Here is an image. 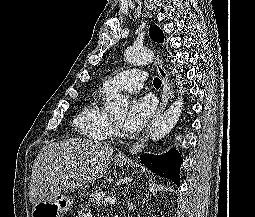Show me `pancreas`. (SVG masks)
<instances>
[{
  "label": "pancreas",
  "instance_id": "obj_1",
  "mask_svg": "<svg viewBox=\"0 0 255 217\" xmlns=\"http://www.w3.org/2000/svg\"><path fill=\"white\" fill-rule=\"evenodd\" d=\"M106 192L98 189L89 196V201L92 202V205L99 206L105 203Z\"/></svg>",
  "mask_w": 255,
  "mask_h": 217
}]
</instances>
